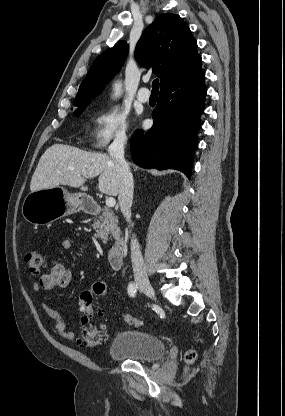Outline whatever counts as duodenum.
<instances>
[{
  "instance_id": "duodenum-1",
  "label": "duodenum",
  "mask_w": 285,
  "mask_h": 416,
  "mask_svg": "<svg viewBox=\"0 0 285 416\" xmlns=\"http://www.w3.org/2000/svg\"><path fill=\"white\" fill-rule=\"evenodd\" d=\"M81 206L91 214H98L100 206L97 197H90L88 193H79L77 196ZM126 251V239L122 236L117 238L108 250L109 266L112 270H119L123 266Z\"/></svg>"
}]
</instances>
